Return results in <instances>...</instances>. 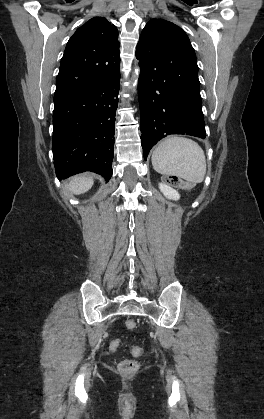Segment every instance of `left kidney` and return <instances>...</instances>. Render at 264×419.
<instances>
[{
  "instance_id": "1",
  "label": "left kidney",
  "mask_w": 264,
  "mask_h": 419,
  "mask_svg": "<svg viewBox=\"0 0 264 419\" xmlns=\"http://www.w3.org/2000/svg\"><path fill=\"white\" fill-rule=\"evenodd\" d=\"M159 189L163 193V195L170 200L177 201L180 198L179 193L175 189L168 186L167 184L160 183Z\"/></svg>"
}]
</instances>
